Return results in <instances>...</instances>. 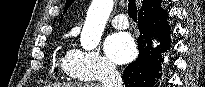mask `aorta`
I'll return each mask as SVG.
<instances>
[{
    "mask_svg": "<svg viewBox=\"0 0 205 87\" xmlns=\"http://www.w3.org/2000/svg\"><path fill=\"white\" fill-rule=\"evenodd\" d=\"M114 5L113 0H93L81 32L80 43L85 50L96 48Z\"/></svg>",
    "mask_w": 205,
    "mask_h": 87,
    "instance_id": "762f6f07",
    "label": "aorta"
}]
</instances>
